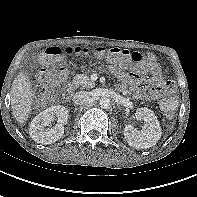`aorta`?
I'll use <instances>...</instances> for the list:
<instances>
[{
    "label": "aorta",
    "instance_id": "aorta-1",
    "mask_svg": "<svg viewBox=\"0 0 197 197\" xmlns=\"http://www.w3.org/2000/svg\"><path fill=\"white\" fill-rule=\"evenodd\" d=\"M99 105L103 109H108L111 105V99L108 97H102L99 100Z\"/></svg>",
    "mask_w": 197,
    "mask_h": 197
}]
</instances>
